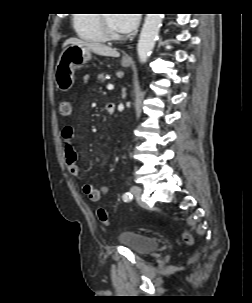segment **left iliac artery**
<instances>
[{
  "mask_svg": "<svg viewBox=\"0 0 252 303\" xmlns=\"http://www.w3.org/2000/svg\"><path fill=\"white\" fill-rule=\"evenodd\" d=\"M132 194L131 193H129V192H127V193H125L124 195H123V200L124 201H127V200H130V199H132Z\"/></svg>",
  "mask_w": 252,
  "mask_h": 303,
  "instance_id": "left-iliac-artery-1",
  "label": "left iliac artery"
}]
</instances>
